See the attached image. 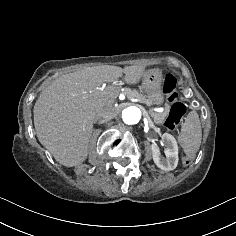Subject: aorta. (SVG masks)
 Returning a JSON list of instances; mask_svg holds the SVG:
<instances>
[{
  "label": "aorta",
  "mask_w": 236,
  "mask_h": 236,
  "mask_svg": "<svg viewBox=\"0 0 236 236\" xmlns=\"http://www.w3.org/2000/svg\"><path fill=\"white\" fill-rule=\"evenodd\" d=\"M142 117L141 110L136 106L127 107L122 111V119L125 124H137Z\"/></svg>",
  "instance_id": "1"
}]
</instances>
